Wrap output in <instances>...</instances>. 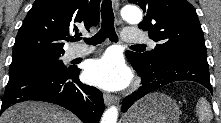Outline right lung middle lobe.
Instances as JSON below:
<instances>
[{"mask_svg":"<svg viewBox=\"0 0 221 123\" xmlns=\"http://www.w3.org/2000/svg\"><path fill=\"white\" fill-rule=\"evenodd\" d=\"M63 54L64 52L54 51H30L12 54L13 59L9 73L35 67L67 69L60 60Z\"/></svg>","mask_w":221,"mask_h":123,"instance_id":"obj_1","label":"right lung middle lobe"}]
</instances>
